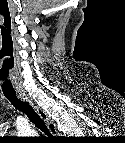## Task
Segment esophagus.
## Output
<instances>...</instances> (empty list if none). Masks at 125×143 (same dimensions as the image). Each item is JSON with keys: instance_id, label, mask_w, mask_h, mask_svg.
<instances>
[{"instance_id": "34e87169", "label": "esophagus", "mask_w": 125, "mask_h": 143, "mask_svg": "<svg viewBox=\"0 0 125 143\" xmlns=\"http://www.w3.org/2000/svg\"><path fill=\"white\" fill-rule=\"evenodd\" d=\"M18 97L22 101L28 102L35 109V111L38 113V115L45 121V123L47 124L48 129L50 130V132L53 135L57 134L55 123L53 122V120H51L49 118L48 114L44 110H42L38 105L34 104V102L32 100H30L25 93H19Z\"/></svg>"}]
</instances>
